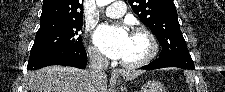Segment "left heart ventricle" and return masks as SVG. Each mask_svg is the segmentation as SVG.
I'll use <instances>...</instances> for the list:
<instances>
[{"mask_svg": "<svg viewBox=\"0 0 225 92\" xmlns=\"http://www.w3.org/2000/svg\"><path fill=\"white\" fill-rule=\"evenodd\" d=\"M149 51V44L146 37L142 34H133L129 36L126 52L122 60L134 62L142 59Z\"/></svg>", "mask_w": 225, "mask_h": 92, "instance_id": "b2bd125f", "label": "left heart ventricle"}]
</instances>
